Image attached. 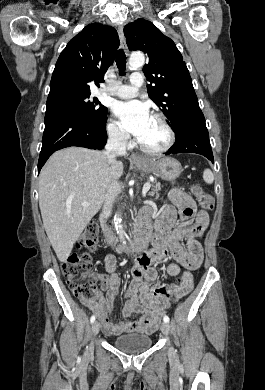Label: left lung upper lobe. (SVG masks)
<instances>
[{"instance_id": "1", "label": "left lung upper lobe", "mask_w": 265, "mask_h": 390, "mask_svg": "<svg viewBox=\"0 0 265 390\" xmlns=\"http://www.w3.org/2000/svg\"><path fill=\"white\" fill-rule=\"evenodd\" d=\"M124 35L130 50L148 55L143 72L151 83L147 85L149 97L177 134L194 113L201 111L181 53L170 38L145 19L126 25Z\"/></svg>"}]
</instances>
